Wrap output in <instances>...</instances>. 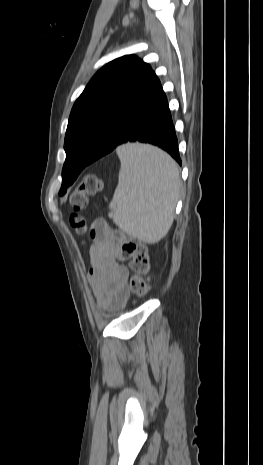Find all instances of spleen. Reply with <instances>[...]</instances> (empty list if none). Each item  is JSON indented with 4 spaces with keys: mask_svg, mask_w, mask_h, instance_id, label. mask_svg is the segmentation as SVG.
Masks as SVG:
<instances>
[{
    "mask_svg": "<svg viewBox=\"0 0 263 465\" xmlns=\"http://www.w3.org/2000/svg\"><path fill=\"white\" fill-rule=\"evenodd\" d=\"M117 154L121 167L109 217L130 236L156 243L173 223L181 183L177 164L149 145L125 144Z\"/></svg>",
    "mask_w": 263,
    "mask_h": 465,
    "instance_id": "3e777b00",
    "label": "spleen"
}]
</instances>
